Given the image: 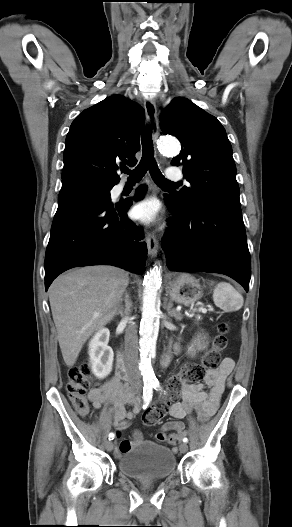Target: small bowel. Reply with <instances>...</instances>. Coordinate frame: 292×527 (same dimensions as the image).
Listing matches in <instances>:
<instances>
[{"label":"small bowel","mask_w":292,"mask_h":527,"mask_svg":"<svg viewBox=\"0 0 292 527\" xmlns=\"http://www.w3.org/2000/svg\"><path fill=\"white\" fill-rule=\"evenodd\" d=\"M234 362L231 358H225L219 368L209 370L205 376L207 390L202 384H183L180 389L181 401H175L169 408V414L175 420L163 424L156 435L158 441H168L175 445L179 442L180 435L185 432V425L181 421L192 410L199 412V420L204 422L217 411L224 391L225 381L231 373ZM89 399L95 408L109 405L113 415V425L121 430L128 427V422L139 411L140 400L135 397L130 387L117 375L106 381L100 387L89 392ZM130 406L131 409L127 410ZM168 431V432H167ZM167 432V434H165ZM142 439L141 433H134V440H123L118 448L117 454H122L130 449L135 443Z\"/></svg>","instance_id":"1"}]
</instances>
